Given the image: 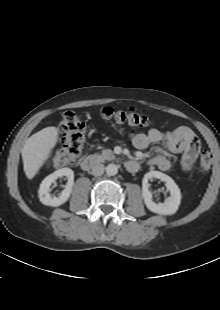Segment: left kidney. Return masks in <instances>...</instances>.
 I'll return each instance as SVG.
<instances>
[{"label":"left kidney","instance_id":"left-kidney-1","mask_svg":"<svg viewBox=\"0 0 220 310\" xmlns=\"http://www.w3.org/2000/svg\"><path fill=\"white\" fill-rule=\"evenodd\" d=\"M152 178L160 179L165 182L166 188L170 191V197L164 203L156 204L152 200V193L149 190L148 180ZM142 196L146 207L154 213L160 215H173L178 210L181 201L180 189L174 180L168 175L159 171H150L144 175L142 180Z\"/></svg>","mask_w":220,"mask_h":310}]
</instances>
